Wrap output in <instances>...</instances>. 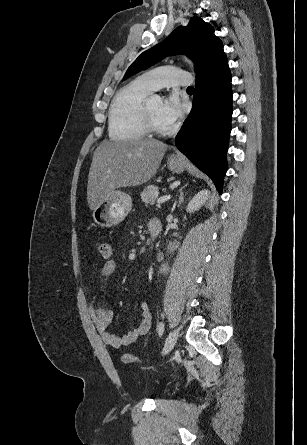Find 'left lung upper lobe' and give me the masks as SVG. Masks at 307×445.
I'll use <instances>...</instances> for the list:
<instances>
[{
    "instance_id": "5c2ea615",
    "label": "left lung upper lobe",
    "mask_w": 307,
    "mask_h": 445,
    "mask_svg": "<svg viewBox=\"0 0 307 445\" xmlns=\"http://www.w3.org/2000/svg\"><path fill=\"white\" fill-rule=\"evenodd\" d=\"M177 53L185 54L195 62L196 76L226 56L221 40L214 35V28L201 18L192 17L186 27L179 26L166 40L140 54L123 80L154 65L164 56Z\"/></svg>"
}]
</instances>
